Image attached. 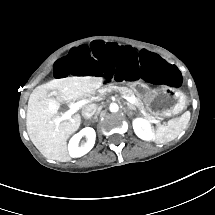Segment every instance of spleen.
I'll return each instance as SVG.
<instances>
[{"instance_id":"3e777b00","label":"spleen","mask_w":215,"mask_h":215,"mask_svg":"<svg viewBox=\"0 0 215 215\" xmlns=\"http://www.w3.org/2000/svg\"><path fill=\"white\" fill-rule=\"evenodd\" d=\"M189 119L190 115L186 112L180 118L169 120L167 125H161L158 127L154 134L155 143H166L177 138L184 126L188 123Z\"/></svg>"}]
</instances>
